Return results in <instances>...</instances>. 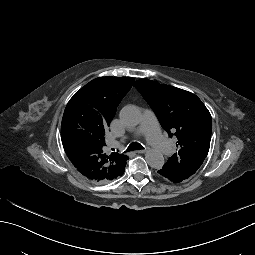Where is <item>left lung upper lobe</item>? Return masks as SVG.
<instances>
[{
  "mask_svg": "<svg viewBox=\"0 0 255 255\" xmlns=\"http://www.w3.org/2000/svg\"><path fill=\"white\" fill-rule=\"evenodd\" d=\"M135 88L150 105L169 137H176L178 152L163 170L181 182L193 175L206 158L211 140L212 118L202 101L193 93L141 79Z\"/></svg>",
  "mask_w": 255,
  "mask_h": 255,
  "instance_id": "left-lung-upper-lobe-1",
  "label": "left lung upper lobe"
}]
</instances>
